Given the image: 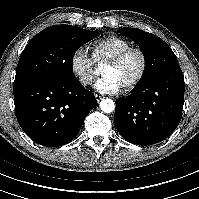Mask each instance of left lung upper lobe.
I'll list each match as a JSON object with an SVG mask.
<instances>
[{
  "mask_svg": "<svg viewBox=\"0 0 199 199\" xmlns=\"http://www.w3.org/2000/svg\"><path fill=\"white\" fill-rule=\"evenodd\" d=\"M119 32L137 43L144 55L145 68L137 85L147 82L165 69L179 65L172 49L156 35L128 27Z\"/></svg>",
  "mask_w": 199,
  "mask_h": 199,
  "instance_id": "1",
  "label": "left lung upper lobe"
}]
</instances>
